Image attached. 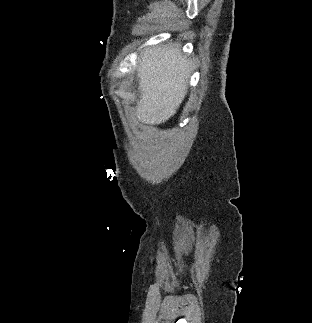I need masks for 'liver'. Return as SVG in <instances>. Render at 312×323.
Here are the masks:
<instances>
[{
	"instance_id": "6515ba94",
	"label": "liver",
	"mask_w": 312,
	"mask_h": 323,
	"mask_svg": "<svg viewBox=\"0 0 312 323\" xmlns=\"http://www.w3.org/2000/svg\"><path fill=\"white\" fill-rule=\"evenodd\" d=\"M192 66L177 46H153L142 52L137 68L140 100L136 118L142 124L158 126L176 114L188 92Z\"/></svg>"
}]
</instances>
